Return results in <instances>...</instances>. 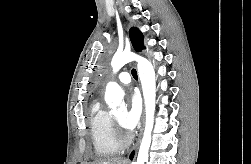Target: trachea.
<instances>
[{
	"label": "trachea",
	"instance_id": "1",
	"mask_svg": "<svg viewBox=\"0 0 251 164\" xmlns=\"http://www.w3.org/2000/svg\"><path fill=\"white\" fill-rule=\"evenodd\" d=\"M131 73L134 79H137V71L135 69H132Z\"/></svg>",
	"mask_w": 251,
	"mask_h": 164
}]
</instances>
